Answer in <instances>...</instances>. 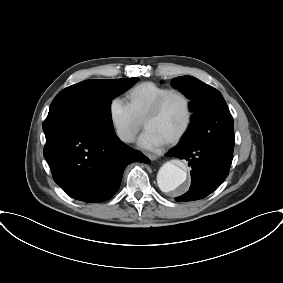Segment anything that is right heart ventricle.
I'll return each instance as SVG.
<instances>
[{
    "instance_id": "obj_1",
    "label": "right heart ventricle",
    "mask_w": 283,
    "mask_h": 283,
    "mask_svg": "<svg viewBox=\"0 0 283 283\" xmlns=\"http://www.w3.org/2000/svg\"><path fill=\"white\" fill-rule=\"evenodd\" d=\"M170 88L146 81L133 86L126 94V103L134 116L142 121L154 102Z\"/></svg>"
}]
</instances>
